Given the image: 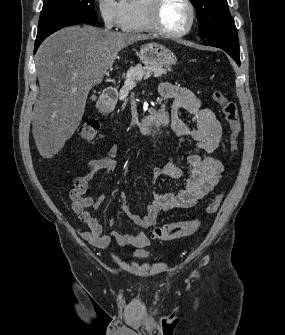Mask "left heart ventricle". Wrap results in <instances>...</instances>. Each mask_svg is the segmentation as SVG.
Masks as SVG:
<instances>
[{
  "label": "left heart ventricle",
  "instance_id": "obj_1",
  "mask_svg": "<svg viewBox=\"0 0 285 335\" xmlns=\"http://www.w3.org/2000/svg\"><path fill=\"white\" fill-rule=\"evenodd\" d=\"M162 21L167 29L179 30L188 23L189 10L179 1H169L163 8Z\"/></svg>",
  "mask_w": 285,
  "mask_h": 335
}]
</instances>
